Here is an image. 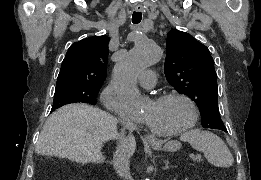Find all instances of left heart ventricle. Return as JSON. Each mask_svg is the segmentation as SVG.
<instances>
[{"mask_svg": "<svg viewBox=\"0 0 261 180\" xmlns=\"http://www.w3.org/2000/svg\"><path fill=\"white\" fill-rule=\"evenodd\" d=\"M189 113L188 105L180 98L154 100L148 97L138 117L151 134L162 137L180 132Z\"/></svg>", "mask_w": 261, "mask_h": 180, "instance_id": "left-heart-ventricle-1", "label": "left heart ventricle"}]
</instances>
